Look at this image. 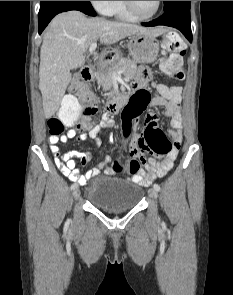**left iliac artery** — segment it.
Segmentation results:
<instances>
[{
	"instance_id": "obj_1",
	"label": "left iliac artery",
	"mask_w": 233,
	"mask_h": 295,
	"mask_svg": "<svg viewBox=\"0 0 233 295\" xmlns=\"http://www.w3.org/2000/svg\"><path fill=\"white\" fill-rule=\"evenodd\" d=\"M153 188L155 189V190H157V191H160V185H158V184H154L153 185Z\"/></svg>"
}]
</instances>
